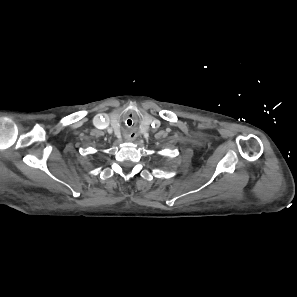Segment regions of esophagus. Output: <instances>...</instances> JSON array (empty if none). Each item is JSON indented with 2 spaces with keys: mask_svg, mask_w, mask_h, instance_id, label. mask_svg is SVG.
I'll use <instances>...</instances> for the list:
<instances>
[{
  "mask_svg": "<svg viewBox=\"0 0 297 297\" xmlns=\"http://www.w3.org/2000/svg\"><path fill=\"white\" fill-rule=\"evenodd\" d=\"M134 138H135V135L134 136L130 135L127 139L128 140H133Z\"/></svg>",
  "mask_w": 297,
  "mask_h": 297,
  "instance_id": "1",
  "label": "esophagus"
}]
</instances>
